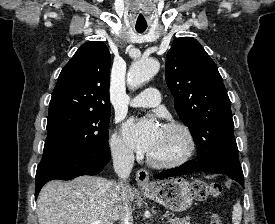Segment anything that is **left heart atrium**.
Wrapping results in <instances>:
<instances>
[{
    "label": "left heart atrium",
    "instance_id": "1",
    "mask_svg": "<svg viewBox=\"0 0 275 224\" xmlns=\"http://www.w3.org/2000/svg\"><path fill=\"white\" fill-rule=\"evenodd\" d=\"M162 129L158 121L152 117L132 119L124 126V136L133 150L150 154L161 137Z\"/></svg>",
    "mask_w": 275,
    "mask_h": 224
}]
</instances>
